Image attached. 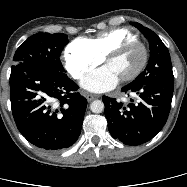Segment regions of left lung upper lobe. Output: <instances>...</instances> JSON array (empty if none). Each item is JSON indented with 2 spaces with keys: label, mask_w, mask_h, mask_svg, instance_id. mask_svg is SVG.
<instances>
[{
  "label": "left lung upper lobe",
  "mask_w": 187,
  "mask_h": 187,
  "mask_svg": "<svg viewBox=\"0 0 187 187\" xmlns=\"http://www.w3.org/2000/svg\"><path fill=\"white\" fill-rule=\"evenodd\" d=\"M138 28L150 44V58L146 69L127 86H141L154 82H174L170 54L161 39L141 24L132 23Z\"/></svg>",
  "instance_id": "obj_1"
}]
</instances>
